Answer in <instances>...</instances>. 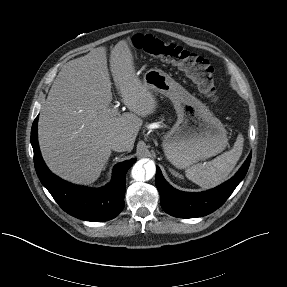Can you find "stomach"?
Masks as SVG:
<instances>
[{
  "label": "stomach",
  "mask_w": 287,
  "mask_h": 287,
  "mask_svg": "<svg viewBox=\"0 0 287 287\" xmlns=\"http://www.w3.org/2000/svg\"><path fill=\"white\" fill-rule=\"evenodd\" d=\"M143 83L174 104L177 121L162 142L164 154L171 164L185 169L226 148L227 132L221 121L167 73L150 69L145 72Z\"/></svg>",
  "instance_id": "0dacf381"
}]
</instances>
